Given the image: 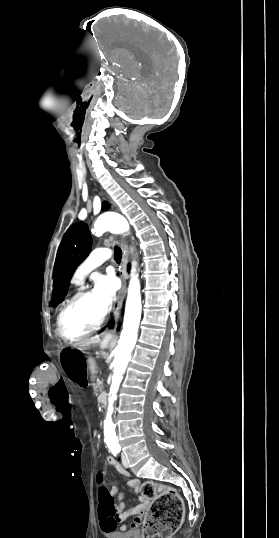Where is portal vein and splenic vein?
I'll return each instance as SVG.
<instances>
[{
	"label": "portal vein and splenic vein",
	"mask_w": 279,
	"mask_h": 538,
	"mask_svg": "<svg viewBox=\"0 0 279 538\" xmlns=\"http://www.w3.org/2000/svg\"><path fill=\"white\" fill-rule=\"evenodd\" d=\"M99 383H100V385H103V382H102V380H99Z\"/></svg>",
	"instance_id": "18ae733b"
}]
</instances>
